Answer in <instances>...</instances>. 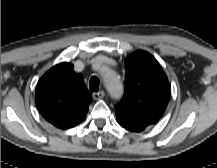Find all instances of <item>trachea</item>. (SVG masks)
<instances>
[{
  "instance_id": "3493384b",
  "label": "trachea",
  "mask_w": 217,
  "mask_h": 168,
  "mask_svg": "<svg viewBox=\"0 0 217 168\" xmlns=\"http://www.w3.org/2000/svg\"><path fill=\"white\" fill-rule=\"evenodd\" d=\"M90 90L94 92H98L99 90V80L95 76H93L90 80Z\"/></svg>"
}]
</instances>
